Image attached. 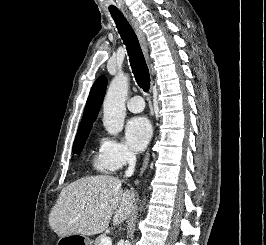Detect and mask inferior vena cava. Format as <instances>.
<instances>
[{"label": "inferior vena cava", "mask_w": 266, "mask_h": 245, "mask_svg": "<svg viewBox=\"0 0 266 245\" xmlns=\"http://www.w3.org/2000/svg\"><path fill=\"white\" fill-rule=\"evenodd\" d=\"M126 161L128 163V169L127 171H125V177H132V175H134L136 165V157L134 153H131V151H129V153H127L126 155Z\"/></svg>", "instance_id": "obj_1"}]
</instances>
